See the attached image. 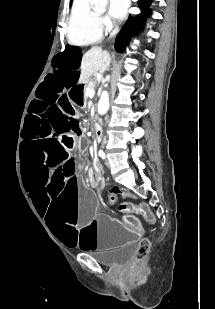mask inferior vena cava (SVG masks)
Returning <instances> with one entry per match:
<instances>
[{
    "label": "inferior vena cava",
    "instance_id": "inferior-vena-cava-1",
    "mask_svg": "<svg viewBox=\"0 0 215 309\" xmlns=\"http://www.w3.org/2000/svg\"><path fill=\"white\" fill-rule=\"evenodd\" d=\"M118 30H119V28H118V26H116V28H114V30H112V32L110 34V38H111V36H114V34H117Z\"/></svg>",
    "mask_w": 215,
    "mask_h": 309
}]
</instances>
